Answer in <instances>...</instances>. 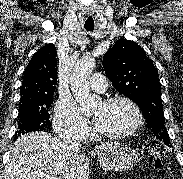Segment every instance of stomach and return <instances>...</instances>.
I'll return each instance as SVG.
<instances>
[{
    "mask_svg": "<svg viewBox=\"0 0 183 179\" xmlns=\"http://www.w3.org/2000/svg\"><path fill=\"white\" fill-rule=\"evenodd\" d=\"M98 158L107 170L126 171L142 159V153L131 145L111 142L99 146Z\"/></svg>",
    "mask_w": 183,
    "mask_h": 179,
    "instance_id": "stomach-1",
    "label": "stomach"
}]
</instances>
